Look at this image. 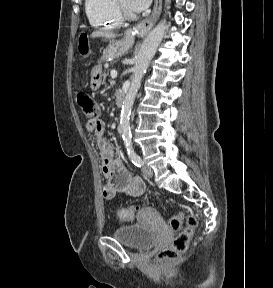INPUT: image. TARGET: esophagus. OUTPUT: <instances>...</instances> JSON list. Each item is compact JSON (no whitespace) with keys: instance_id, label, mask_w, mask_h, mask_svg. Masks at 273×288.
<instances>
[{"instance_id":"obj_1","label":"esophagus","mask_w":273,"mask_h":288,"mask_svg":"<svg viewBox=\"0 0 273 288\" xmlns=\"http://www.w3.org/2000/svg\"><path fill=\"white\" fill-rule=\"evenodd\" d=\"M162 10V0H155L153 11L151 15L140 22L138 25H136L133 29L130 28L126 31V34H139V35H145L149 32V30L154 26L156 21L158 20L160 13Z\"/></svg>"}]
</instances>
